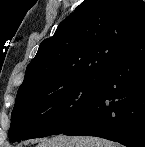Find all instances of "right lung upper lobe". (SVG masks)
Masks as SVG:
<instances>
[{"mask_svg": "<svg viewBox=\"0 0 145 147\" xmlns=\"http://www.w3.org/2000/svg\"><path fill=\"white\" fill-rule=\"evenodd\" d=\"M144 37L143 0H84L40 44L17 95L53 91L86 75L101 74Z\"/></svg>", "mask_w": 145, "mask_h": 147, "instance_id": "cb5924a9", "label": "right lung upper lobe"}]
</instances>
